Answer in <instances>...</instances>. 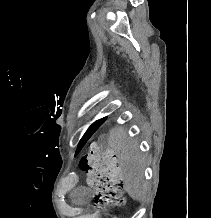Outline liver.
<instances>
[{
    "instance_id": "liver-1",
    "label": "liver",
    "mask_w": 211,
    "mask_h": 218,
    "mask_svg": "<svg viewBox=\"0 0 211 218\" xmlns=\"http://www.w3.org/2000/svg\"><path fill=\"white\" fill-rule=\"evenodd\" d=\"M110 148L115 150L121 168V180L124 190L133 200H142L145 196L143 184L144 160L139 154L137 142L129 140L123 126H116L109 132Z\"/></svg>"
}]
</instances>
